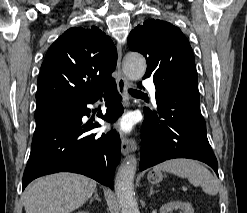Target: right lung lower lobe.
<instances>
[{"instance_id": "obj_1", "label": "right lung lower lobe", "mask_w": 247, "mask_h": 213, "mask_svg": "<svg viewBox=\"0 0 247 213\" xmlns=\"http://www.w3.org/2000/svg\"><path fill=\"white\" fill-rule=\"evenodd\" d=\"M104 96V120L115 121L124 110L115 81L91 96H60L37 107L36 129L31 153L23 175V189L35 178L56 173L75 172L113 188L114 171L120 162L121 141L114 130L96 136L88 131L98 123H82L90 114L87 104Z\"/></svg>"}]
</instances>
